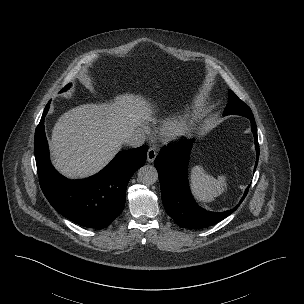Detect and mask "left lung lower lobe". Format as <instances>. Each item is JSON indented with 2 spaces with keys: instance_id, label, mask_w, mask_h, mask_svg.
Wrapping results in <instances>:
<instances>
[{
  "instance_id": "obj_1",
  "label": "left lung lower lobe",
  "mask_w": 304,
  "mask_h": 304,
  "mask_svg": "<svg viewBox=\"0 0 304 304\" xmlns=\"http://www.w3.org/2000/svg\"><path fill=\"white\" fill-rule=\"evenodd\" d=\"M248 119L251 121V129L257 152L255 171L259 158L257 127L254 118ZM191 143L192 140H182L177 144L164 147L154 163L160 180L162 202L169 216L181 228L200 229L212 226L223 220L232 214L240 204L232 210L222 213L209 212L197 205L191 195L187 176ZM248 188L245 190L240 203L246 197Z\"/></svg>"
}]
</instances>
